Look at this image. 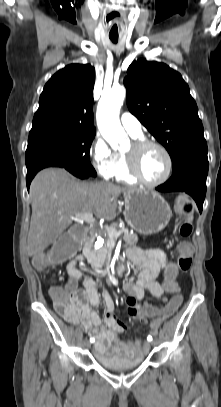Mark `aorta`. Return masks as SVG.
Segmentation results:
<instances>
[{
	"label": "aorta",
	"mask_w": 221,
	"mask_h": 407,
	"mask_svg": "<svg viewBox=\"0 0 221 407\" xmlns=\"http://www.w3.org/2000/svg\"><path fill=\"white\" fill-rule=\"evenodd\" d=\"M126 90L123 86L113 87L103 93L97 107V125L103 138L113 149L125 141L126 134L119 120Z\"/></svg>",
	"instance_id": "1"
}]
</instances>
